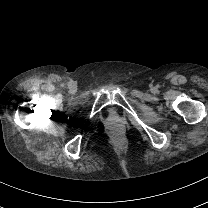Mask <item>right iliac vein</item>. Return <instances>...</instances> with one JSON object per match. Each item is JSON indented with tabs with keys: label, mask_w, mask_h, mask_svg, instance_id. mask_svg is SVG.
Wrapping results in <instances>:
<instances>
[{
	"label": "right iliac vein",
	"mask_w": 208,
	"mask_h": 208,
	"mask_svg": "<svg viewBox=\"0 0 208 208\" xmlns=\"http://www.w3.org/2000/svg\"><path fill=\"white\" fill-rule=\"evenodd\" d=\"M70 91H71L72 93H74V92H75V87H72V88L70 89Z\"/></svg>",
	"instance_id": "1"
}]
</instances>
